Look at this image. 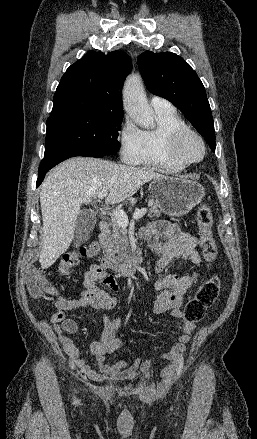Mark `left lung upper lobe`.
Returning <instances> with one entry per match:
<instances>
[{"label": "left lung upper lobe", "mask_w": 257, "mask_h": 439, "mask_svg": "<svg viewBox=\"0 0 257 439\" xmlns=\"http://www.w3.org/2000/svg\"><path fill=\"white\" fill-rule=\"evenodd\" d=\"M148 90L176 105L215 151V130L205 88L180 56L145 51L137 58Z\"/></svg>", "instance_id": "obj_1"}]
</instances>
